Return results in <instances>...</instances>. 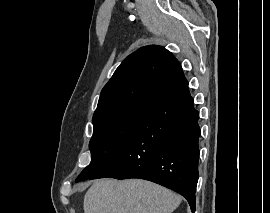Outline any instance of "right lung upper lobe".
I'll use <instances>...</instances> for the list:
<instances>
[{
	"label": "right lung upper lobe",
	"instance_id": "cb5924a9",
	"mask_svg": "<svg viewBox=\"0 0 270 213\" xmlns=\"http://www.w3.org/2000/svg\"><path fill=\"white\" fill-rule=\"evenodd\" d=\"M188 85L177 59L163 47L144 46L129 55L101 91L96 117L135 101L158 104Z\"/></svg>",
	"mask_w": 270,
	"mask_h": 213
}]
</instances>
